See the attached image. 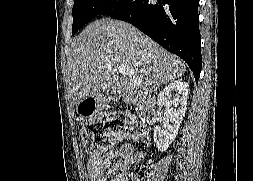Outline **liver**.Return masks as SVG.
Instances as JSON below:
<instances>
[{"label":"liver","instance_id":"obj_1","mask_svg":"<svg viewBox=\"0 0 253 181\" xmlns=\"http://www.w3.org/2000/svg\"><path fill=\"white\" fill-rule=\"evenodd\" d=\"M128 65L133 76L117 78ZM69 91L75 105L102 91L134 99L180 79L185 64L134 26L103 18L76 36L68 52Z\"/></svg>","mask_w":253,"mask_h":181}]
</instances>
